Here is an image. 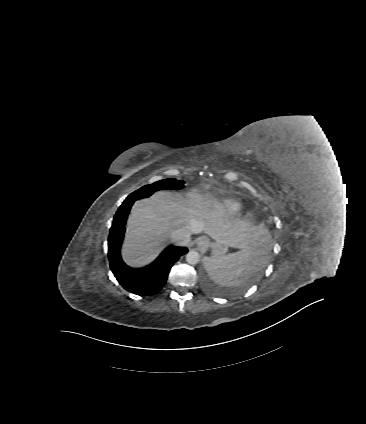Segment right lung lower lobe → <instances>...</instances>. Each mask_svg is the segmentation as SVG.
<instances>
[{
	"mask_svg": "<svg viewBox=\"0 0 366 424\" xmlns=\"http://www.w3.org/2000/svg\"><path fill=\"white\" fill-rule=\"evenodd\" d=\"M133 203L134 201L123 202L114 216L108 238V258L114 276L126 290L139 295H151L163 287L170 268L188 249L171 245L145 268L134 269L127 266L121 258L120 247L126 219Z\"/></svg>",
	"mask_w": 366,
	"mask_h": 424,
	"instance_id": "98d812e1",
	"label": "right lung lower lobe"
}]
</instances>
